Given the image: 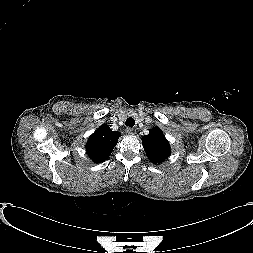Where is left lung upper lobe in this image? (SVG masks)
Returning <instances> with one entry per match:
<instances>
[{
	"label": "left lung upper lobe",
	"mask_w": 253,
	"mask_h": 253,
	"mask_svg": "<svg viewBox=\"0 0 253 253\" xmlns=\"http://www.w3.org/2000/svg\"><path fill=\"white\" fill-rule=\"evenodd\" d=\"M144 150L149 160L160 164L170 156V145L158 127L150 130L148 135L142 137Z\"/></svg>",
	"instance_id": "1"
}]
</instances>
